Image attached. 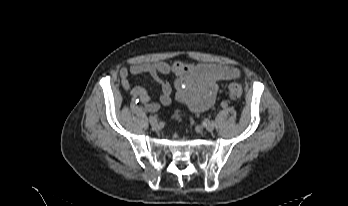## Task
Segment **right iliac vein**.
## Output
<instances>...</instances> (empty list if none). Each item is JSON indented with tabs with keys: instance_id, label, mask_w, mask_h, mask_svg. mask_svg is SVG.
<instances>
[{
	"instance_id": "63e3f726",
	"label": "right iliac vein",
	"mask_w": 348,
	"mask_h": 206,
	"mask_svg": "<svg viewBox=\"0 0 348 206\" xmlns=\"http://www.w3.org/2000/svg\"><path fill=\"white\" fill-rule=\"evenodd\" d=\"M149 122H150V125L153 127V128H157L158 127V121L155 117L153 116H150L149 117Z\"/></svg>"
}]
</instances>
